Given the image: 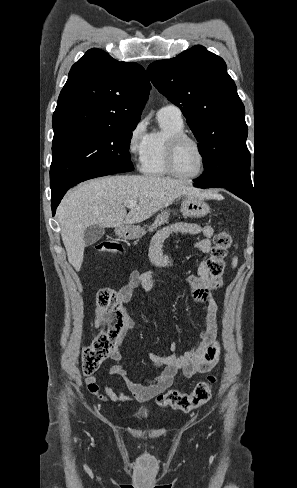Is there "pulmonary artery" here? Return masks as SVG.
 I'll list each match as a JSON object with an SVG mask.
<instances>
[{"mask_svg":"<svg viewBox=\"0 0 297 488\" xmlns=\"http://www.w3.org/2000/svg\"><path fill=\"white\" fill-rule=\"evenodd\" d=\"M159 117H168L176 120H183L180 108L173 104H167L158 111Z\"/></svg>","mask_w":297,"mask_h":488,"instance_id":"pulmonary-artery-1","label":"pulmonary artery"}]
</instances>
